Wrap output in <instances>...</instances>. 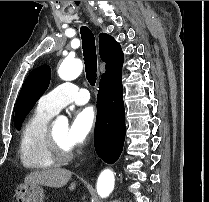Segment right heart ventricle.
<instances>
[{
	"label": "right heart ventricle",
	"mask_w": 209,
	"mask_h": 202,
	"mask_svg": "<svg viewBox=\"0 0 209 202\" xmlns=\"http://www.w3.org/2000/svg\"><path fill=\"white\" fill-rule=\"evenodd\" d=\"M53 115L38 107L24 122L19 141V156L24 166L47 169L54 165L56 159L46 141L48 122Z\"/></svg>",
	"instance_id": "right-heart-ventricle-1"
}]
</instances>
